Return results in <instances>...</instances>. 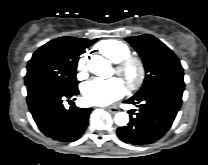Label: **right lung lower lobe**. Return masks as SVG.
<instances>
[{
    "mask_svg": "<svg viewBox=\"0 0 208 165\" xmlns=\"http://www.w3.org/2000/svg\"><path fill=\"white\" fill-rule=\"evenodd\" d=\"M78 94V88L71 91L43 88L27 96L29 110L43 134L60 142H73L81 137L92 109L72 105L67 110L63 105V99Z\"/></svg>",
    "mask_w": 208,
    "mask_h": 165,
    "instance_id": "right-lung-lower-lobe-1",
    "label": "right lung lower lobe"
}]
</instances>
